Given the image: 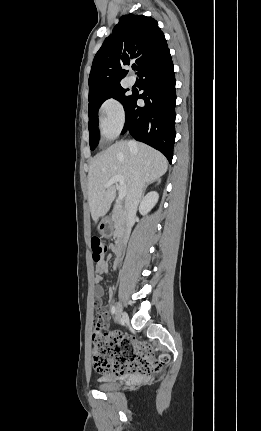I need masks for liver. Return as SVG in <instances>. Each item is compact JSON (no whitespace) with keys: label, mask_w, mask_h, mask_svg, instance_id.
I'll return each mask as SVG.
<instances>
[{"label":"liver","mask_w":261,"mask_h":431,"mask_svg":"<svg viewBox=\"0 0 261 431\" xmlns=\"http://www.w3.org/2000/svg\"><path fill=\"white\" fill-rule=\"evenodd\" d=\"M167 171V160L157 150L136 141H120L96 155L88 173V202L97 222L109 211L116 187L104 185L115 175L123 176L127 193L137 172L144 183H152Z\"/></svg>","instance_id":"liver-1"}]
</instances>
